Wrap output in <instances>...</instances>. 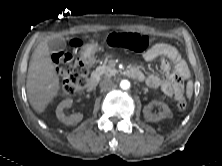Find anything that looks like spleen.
<instances>
[{
    "label": "spleen",
    "instance_id": "obj_1",
    "mask_svg": "<svg viewBox=\"0 0 222 166\" xmlns=\"http://www.w3.org/2000/svg\"><path fill=\"white\" fill-rule=\"evenodd\" d=\"M186 95L188 99H191L192 95H193V82L192 80H189L187 82V86H186Z\"/></svg>",
    "mask_w": 222,
    "mask_h": 166
}]
</instances>
